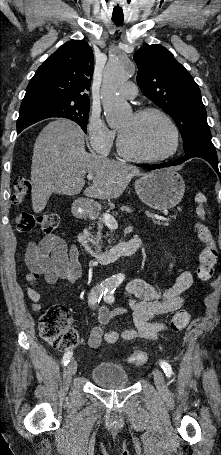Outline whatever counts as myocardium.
<instances>
[{
	"label": "myocardium",
	"instance_id": "myocardium-1",
	"mask_svg": "<svg viewBox=\"0 0 221 455\" xmlns=\"http://www.w3.org/2000/svg\"><path fill=\"white\" fill-rule=\"evenodd\" d=\"M133 115L138 118L145 117L148 115H157L160 118H162L171 130L172 138H173L172 147L170 148L169 151H167L166 153L161 154V155H156V156L137 155L132 152H129L125 148L122 135L120 132H118L117 150L122 157H124L128 160L140 162V163H156V162H161V161H164V160L172 157L178 151L179 146H180L179 131H178V128H177L175 122L173 121V119L166 112H164L163 110L158 109V108L147 107V108H143V109L136 111Z\"/></svg>",
	"mask_w": 221,
	"mask_h": 455
}]
</instances>
